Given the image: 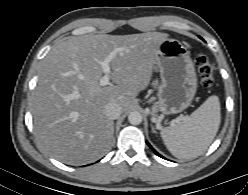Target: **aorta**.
<instances>
[{"instance_id": "1", "label": "aorta", "mask_w": 248, "mask_h": 195, "mask_svg": "<svg viewBox=\"0 0 248 195\" xmlns=\"http://www.w3.org/2000/svg\"><path fill=\"white\" fill-rule=\"evenodd\" d=\"M128 121L132 125H139L142 122V115L138 111H133L128 115Z\"/></svg>"}]
</instances>
